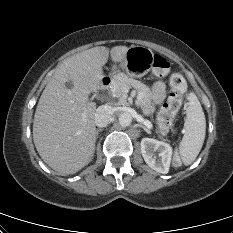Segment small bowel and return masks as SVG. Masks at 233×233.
I'll return each mask as SVG.
<instances>
[{"label":"small bowel","instance_id":"small-bowel-1","mask_svg":"<svg viewBox=\"0 0 233 233\" xmlns=\"http://www.w3.org/2000/svg\"><path fill=\"white\" fill-rule=\"evenodd\" d=\"M152 93H153V102L155 104L161 103L166 96L165 83L162 81L156 82L153 86Z\"/></svg>","mask_w":233,"mask_h":233}]
</instances>
